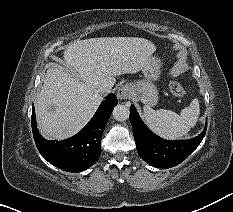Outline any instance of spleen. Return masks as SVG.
<instances>
[{
  "label": "spleen",
  "mask_w": 233,
  "mask_h": 212,
  "mask_svg": "<svg viewBox=\"0 0 233 212\" xmlns=\"http://www.w3.org/2000/svg\"><path fill=\"white\" fill-rule=\"evenodd\" d=\"M144 118L148 126L159 136L175 140L186 135L193 128L200 114V104L197 98L184 108L180 115L166 109L154 110L144 106Z\"/></svg>",
  "instance_id": "3e777b00"
}]
</instances>
